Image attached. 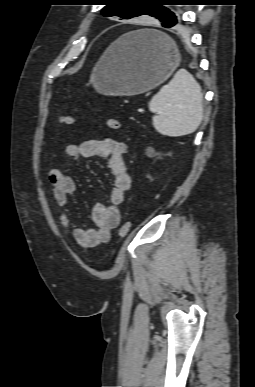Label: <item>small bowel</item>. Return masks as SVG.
Segmentation results:
<instances>
[{"label":"small bowel","mask_w":255,"mask_h":387,"mask_svg":"<svg viewBox=\"0 0 255 387\" xmlns=\"http://www.w3.org/2000/svg\"><path fill=\"white\" fill-rule=\"evenodd\" d=\"M127 146L124 142L112 138L92 139L79 145L69 144L65 154L70 158H92L95 156L108 160V167L114 177L109 204H97L92 209L94 228L84 229L71 219L69 196L76 191L74 179L59 169H52L48 179L52 186L53 197L59 206V221L75 242L82 248H93L106 243L111 238L112 230L121 223L120 206L125 193L131 187V177L127 172L124 155Z\"/></svg>","instance_id":"small-bowel-1"}]
</instances>
